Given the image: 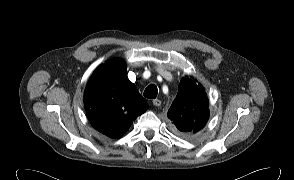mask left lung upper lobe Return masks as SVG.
Returning <instances> with one entry per match:
<instances>
[{
    "instance_id": "obj_1",
    "label": "left lung upper lobe",
    "mask_w": 294,
    "mask_h": 180,
    "mask_svg": "<svg viewBox=\"0 0 294 180\" xmlns=\"http://www.w3.org/2000/svg\"><path fill=\"white\" fill-rule=\"evenodd\" d=\"M168 118L183 133L202 129L209 118L208 99L203 87L189 77L183 78L168 110Z\"/></svg>"
}]
</instances>
